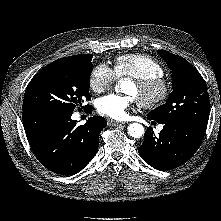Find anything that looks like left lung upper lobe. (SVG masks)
<instances>
[{"mask_svg":"<svg viewBox=\"0 0 221 221\" xmlns=\"http://www.w3.org/2000/svg\"><path fill=\"white\" fill-rule=\"evenodd\" d=\"M172 70L173 92L166 103L152 110L148 117L159 123L193 122L207 126L209 95L204 79L187 60L165 50H158Z\"/></svg>","mask_w":221,"mask_h":221,"instance_id":"1","label":"left lung upper lobe"}]
</instances>
